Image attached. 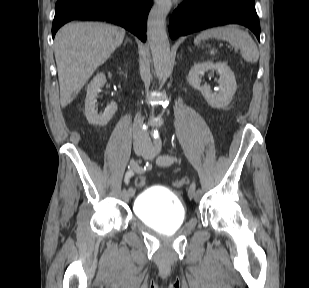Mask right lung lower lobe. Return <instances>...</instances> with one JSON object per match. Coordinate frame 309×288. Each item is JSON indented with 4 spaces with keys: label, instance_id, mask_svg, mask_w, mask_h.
<instances>
[{
    "label": "right lung lower lobe",
    "instance_id": "right-lung-lower-lobe-1",
    "mask_svg": "<svg viewBox=\"0 0 309 288\" xmlns=\"http://www.w3.org/2000/svg\"><path fill=\"white\" fill-rule=\"evenodd\" d=\"M153 0H57L52 37L75 19L116 23L146 41V21Z\"/></svg>",
    "mask_w": 309,
    "mask_h": 288
}]
</instances>
